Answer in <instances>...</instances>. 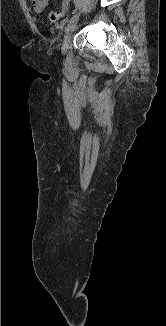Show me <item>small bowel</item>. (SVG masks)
Here are the masks:
<instances>
[{
  "label": "small bowel",
  "mask_w": 166,
  "mask_h": 326,
  "mask_svg": "<svg viewBox=\"0 0 166 326\" xmlns=\"http://www.w3.org/2000/svg\"><path fill=\"white\" fill-rule=\"evenodd\" d=\"M30 1L34 12L38 14L43 13L49 4V0H30Z\"/></svg>",
  "instance_id": "1"
}]
</instances>
